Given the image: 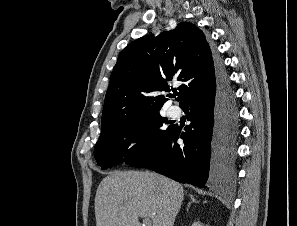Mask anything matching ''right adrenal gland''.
Returning <instances> with one entry per match:
<instances>
[{"instance_id":"1","label":"right adrenal gland","mask_w":297,"mask_h":226,"mask_svg":"<svg viewBox=\"0 0 297 226\" xmlns=\"http://www.w3.org/2000/svg\"><path fill=\"white\" fill-rule=\"evenodd\" d=\"M190 202L187 205V210L190 207L191 203H197L198 201L193 197V195H190Z\"/></svg>"}]
</instances>
